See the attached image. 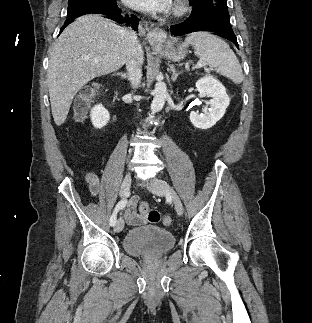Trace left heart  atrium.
<instances>
[{
  "mask_svg": "<svg viewBox=\"0 0 312 323\" xmlns=\"http://www.w3.org/2000/svg\"><path fill=\"white\" fill-rule=\"evenodd\" d=\"M125 3L136 12H169L174 6L172 0H125Z\"/></svg>",
  "mask_w": 312,
  "mask_h": 323,
  "instance_id": "39dd6f15",
  "label": "left heart atrium"
}]
</instances>
